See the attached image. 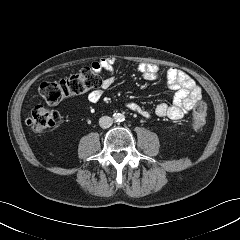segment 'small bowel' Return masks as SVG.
Here are the masks:
<instances>
[{
    "mask_svg": "<svg viewBox=\"0 0 240 240\" xmlns=\"http://www.w3.org/2000/svg\"><path fill=\"white\" fill-rule=\"evenodd\" d=\"M115 58L106 57L95 61L92 69L99 73H107L99 86L88 95V100L92 103L98 102L105 91L115 82L114 68ZM138 73L146 80L153 81L160 77L161 70L157 65L149 63H139ZM167 84L175 91L172 104L160 103L154 109V114L158 117L177 120L190 111L202 98V90L199 85L185 72L170 67L166 70ZM126 107L142 115L145 118L151 117V112L136 102H127Z\"/></svg>",
    "mask_w": 240,
    "mask_h": 240,
    "instance_id": "obj_1",
    "label": "small bowel"
}]
</instances>
